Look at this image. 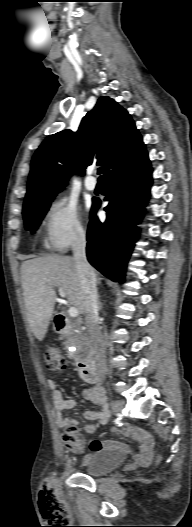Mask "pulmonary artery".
<instances>
[{"instance_id": "e3ab8cb5", "label": "pulmonary artery", "mask_w": 192, "mask_h": 527, "mask_svg": "<svg viewBox=\"0 0 192 527\" xmlns=\"http://www.w3.org/2000/svg\"><path fill=\"white\" fill-rule=\"evenodd\" d=\"M84 185H85L86 189L89 190V191H93V190L96 189V181L91 176V173L86 177V179L84 181Z\"/></svg>"}]
</instances>
